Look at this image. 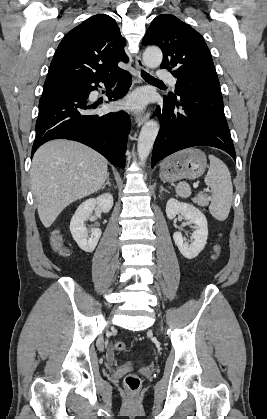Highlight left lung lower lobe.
<instances>
[{
    "label": "left lung lower lobe",
    "mask_w": 267,
    "mask_h": 419,
    "mask_svg": "<svg viewBox=\"0 0 267 419\" xmlns=\"http://www.w3.org/2000/svg\"><path fill=\"white\" fill-rule=\"evenodd\" d=\"M178 96H164L163 107L156 109L161 127L151 166L178 150L199 145L222 149L236 161L220 89L204 88Z\"/></svg>",
    "instance_id": "obj_1"
}]
</instances>
